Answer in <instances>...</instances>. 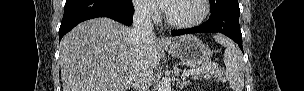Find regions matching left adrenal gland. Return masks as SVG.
I'll use <instances>...</instances> for the list:
<instances>
[{
    "instance_id": "left-adrenal-gland-1",
    "label": "left adrenal gland",
    "mask_w": 304,
    "mask_h": 91,
    "mask_svg": "<svg viewBox=\"0 0 304 91\" xmlns=\"http://www.w3.org/2000/svg\"><path fill=\"white\" fill-rule=\"evenodd\" d=\"M190 83L189 82H181L179 78L176 79V86L180 89H183L184 87H187Z\"/></svg>"
}]
</instances>
